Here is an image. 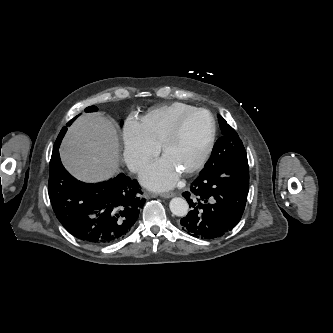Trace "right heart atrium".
I'll list each match as a JSON object with an SVG mask.
<instances>
[{
    "label": "right heart atrium",
    "instance_id": "1",
    "mask_svg": "<svg viewBox=\"0 0 333 333\" xmlns=\"http://www.w3.org/2000/svg\"><path fill=\"white\" fill-rule=\"evenodd\" d=\"M123 158L132 172H140L158 154L159 147L149 138L142 123L128 117L122 129Z\"/></svg>",
    "mask_w": 333,
    "mask_h": 333
}]
</instances>
